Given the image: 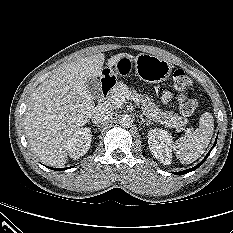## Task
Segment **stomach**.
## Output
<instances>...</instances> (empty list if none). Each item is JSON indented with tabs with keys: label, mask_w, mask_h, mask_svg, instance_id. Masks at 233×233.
<instances>
[{
	"label": "stomach",
	"mask_w": 233,
	"mask_h": 233,
	"mask_svg": "<svg viewBox=\"0 0 233 233\" xmlns=\"http://www.w3.org/2000/svg\"><path fill=\"white\" fill-rule=\"evenodd\" d=\"M135 63L137 76L148 83H160L165 81L172 72L171 64L163 58L150 54H139L134 59L123 57L117 63V67L122 65L131 66Z\"/></svg>",
	"instance_id": "obj_1"
}]
</instances>
